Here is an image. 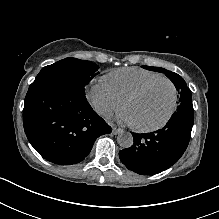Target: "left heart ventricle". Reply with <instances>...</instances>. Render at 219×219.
Wrapping results in <instances>:
<instances>
[{
	"label": "left heart ventricle",
	"mask_w": 219,
	"mask_h": 219,
	"mask_svg": "<svg viewBox=\"0 0 219 219\" xmlns=\"http://www.w3.org/2000/svg\"><path fill=\"white\" fill-rule=\"evenodd\" d=\"M172 88L167 82H159L131 100L129 111L138 126H153L162 121L172 102Z\"/></svg>",
	"instance_id": "1"
}]
</instances>
